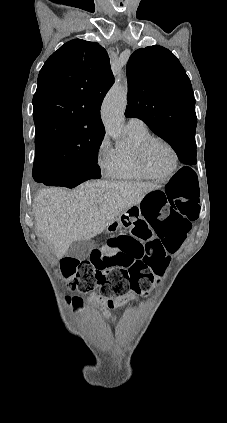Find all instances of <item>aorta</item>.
Returning <instances> with one entry per match:
<instances>
[{"mask_svg": "<svg viewBox=\"0 0 227 423\" xmlns=\"http://www.w3.org/2000/svg\"><path fill=\"white\" fill-rule=\"evenodd\" d=\"M127 104V83L116 82L104 98L101 118L106 133L119 141L123 134L124 111Z\"/></svg>", "mask_w": 227, "mask_h": 423, "instance_id": "762f6f07", "label": "aorta"}]
</instances>
